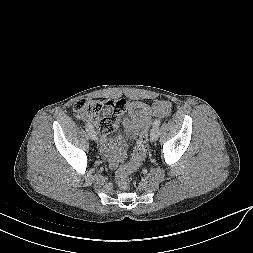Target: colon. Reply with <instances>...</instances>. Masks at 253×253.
<instances>
[{"label": "colon", "instance_id": "colon-1", "mask_svg": "<svg viewBox=\"0 0 253 253\" xmlns=\"http://www.w3.org/2000/svg\"><path fill=\"white\" fill-rule=\"evenodd\" d=\"M126 110V101L120 100H95L81 99L73 106L76 117L88 119L94 122L97 129L104 135L114 131L120 115ZM148 148L147 127L139 134L131 160L120 166L115 174L116 182L121 190H127L130 186V175L142 165Z\"/></svg>", "mask_w": 253, "mask_h": 253}]
</instances>
